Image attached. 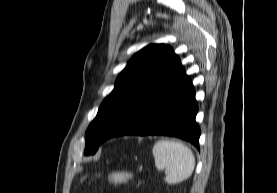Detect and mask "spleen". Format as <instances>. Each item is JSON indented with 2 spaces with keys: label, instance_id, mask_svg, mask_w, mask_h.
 Segmentation results:
<instances>
[{
  "label": "spleen",
  "instance_id": "spleen-1",
  "mask_svg": "<svg viewBox=\"0 0 277 193\" xmlns=\"http://www.w3.org/2000/svg\"><path fill=\"white\" fill-rule=\"evenodd\" d=\"M155 166L158 170H166L165 182L178 184L190 177L195 167L192 151L177 141H157L152 150Z\"/></svg>",
  "mask_w": 277,
  "mask_h": 193
}]
</instances>
